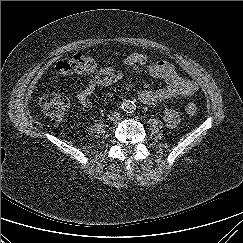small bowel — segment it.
<instances>
[{
	"label": "small bowel",
	"instance_id": "obj_1",
	"mask_svg": "<svg viewBox=\"0 0 243 243\" xmlns=\"http://www.w3.org/2000/svg\"><path fill=\"white\" fill-rule=\"evenodd\" d=\"M124 64L131 67L138 74L148 73L151 77L165 82L166 86L159 90L142 89L138 92V99L146 105H153L158 101L171 98L189 97L198 89L194 81L182 77L174 66L166 61H152L145 54L134 53L124 59ZM121 78V71L109 77L98 75L91 77L77 95L79 103L84 107H90L93 96L100 88L108 87ZM163 119L169 127H175L179 123L180 117L176 110L166 108L163 112Z\"/></svg>",
	"mask_w": 243,
	"mask_h": 243
}]
</instances>
